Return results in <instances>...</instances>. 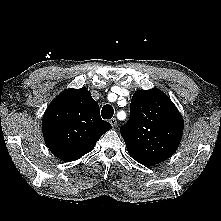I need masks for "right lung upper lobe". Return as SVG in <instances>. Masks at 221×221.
I'll return each mask as SVG.
<instances>
[{
  "label": "right lung upper lobe",
  "instance_id": "obj_1",
  "mask_svg": "<svg viewBox=\"0 0 221 221\" xmlns=\"http://www.w3.org/2000/svg\"><path fill=\"white\" fill-rule=\"evenodd\" d=\"M111 125L102 120L99 105L86 89H67L47 107L42 121L49 150L70 162L90 152Z\"/></svg>",
  "mask_w": 221,
  "mask_h": 221
}]
</instances>
